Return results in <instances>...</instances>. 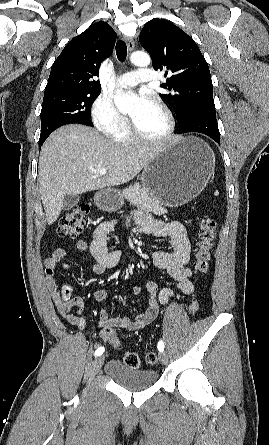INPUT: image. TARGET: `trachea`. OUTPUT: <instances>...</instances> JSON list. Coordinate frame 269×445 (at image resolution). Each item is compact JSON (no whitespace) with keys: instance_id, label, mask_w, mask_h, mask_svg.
<instances>
[{"instance_id":"obj_1","label":"trachea","mask_w":269,"mask_h":445,"mask_svg":"<svg viewBox=\"0 0 269 445\" xmlns=\"http://www.w3.org/2000/svg\"><path fill=\"white\" fill-rule=\"evenodd\" d=\"M116 55L119 61H125L127 55V46L126 43L122 40L117 41Z\"/></svg>"}]
</instances>
